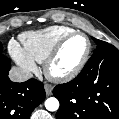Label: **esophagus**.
<instances>
[{
    "mask_svg": "<svg viewBox=\"0 0 119 119\" xmlns=\"http://www.w3.org/2000/svg\"><path fill=\"white\" fill-rule=\"evenodd\" d=\"M45 92L48 96L52 94L53 86L51 84H45L44 85Z\"/></svg>",
    "mask_w": 119,
    "mask_h": 119,
    "instance_id": "34e87169",
    "label": "esophagus"
}]
</instances>
